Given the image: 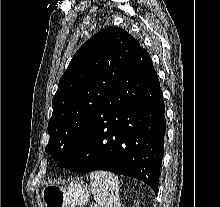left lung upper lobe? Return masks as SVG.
Returning <instances> with one entry per match:
<instances>
[{"label":"left lung upper lobe","instance_id":"left-lung-upper-lobe-1","mask_svg":"<svg viewBox=\"0 0 220 207\" xmlns=\"http://www.w3.org/2000/svg\"><path fill=\"white\" fill-rule=\"evenodd\" d=\"M139 48L140 43L127 31L108 27L78 49L52 101L45 151L53 160H61L88 133Z\"/></svg>","mask_w":220,"mask_h":207}]
</instances>
